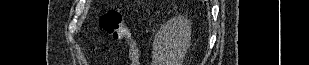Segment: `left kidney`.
Instances as JSON below:
<instances>
[{"label":"left kidney","instance_id":"obj_1","mask_svg":"<svg viewBox=\"0 0 309 65\" xmlns=\"http://www.w3.org/2000/svg\"><path fill=\"white\" fill-rule=\"evenodd\" d=\"M190 40V21L180 15L170 19L154 37L152 65H182Z\"/></svg>","mask_w":309,"mask_h":65}]
</instances>
